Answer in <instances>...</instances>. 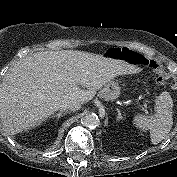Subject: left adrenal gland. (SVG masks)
<instances>
[{
	"mask_svg": "<svg viewBox=\"0 0 177 177\" xmlns=\"http://www.w3.org/2000/svg\"><path fill=\"white\" fill-rule=\"evenodd\" d=\"M117 112H118L117 121L123 120V116L121 114V111L119 109H117Z\"/></svg>",
	"mask_w": 177,
	"mask_h": 177,
	"instance_id": "left-adrenal-gland-1",
	"label": "left adrenal gland"
}]
</instances>
